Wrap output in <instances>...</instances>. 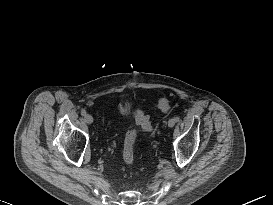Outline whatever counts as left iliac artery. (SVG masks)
I'll return each mask as SVG.
<instances>
[{
	"instance_id": "1",
	"label": "left iliac artery",
	"mask_w": 273,
	"mask_h": 205,
	"mask_svg": "<svg viewBox=\"0 0 273 205\" xmlns=\"http://www.w3.org/2000/svg\"><path fill=\"white\" fill-rule=\"evenodd\" d=\"M180 118L178 116L175 117V122H179Z\"/></svg>"
}]
</instances>
